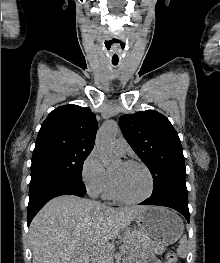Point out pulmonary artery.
<instances>
[{
  "instance_id": "e3ab8cb5",
  "label": "pulmonary artery",
  "mask_w": 220,
  "mask_h": 263,
  "mask_svg": "<svg viewBox=\"0 0 220 263\" xmlns=\"http://www.w3.org/2000/svg\"><path fill=\"white\" fill-rule=\"evenodd\" d=\"M128 148V143L123 137H119L114 141V149L118 154L124 155Z\"/></svg>"
}]
</instances>
